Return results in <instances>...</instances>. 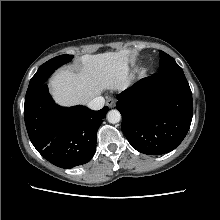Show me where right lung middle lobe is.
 <instances>
[{
    "label": "right lung middle lobe",
    "mask_w": 220,
    "mask_h": 220,
    "mask_svg": "<svg viewBox=\"0 0 220 220\" xmlns=\"http://www.w3.org/2000/svg\"><path fill=\"white\" fill-rule=\"evenodd\" d=\"M72 58L73 55H60L42 64L36 74L31 78L26 96L35 92L40 86L45 83V81L54 72V70H56L63 64L70 62Z\"/></svg>",
    "instance_id": "obj_1"
}]
</instances>
